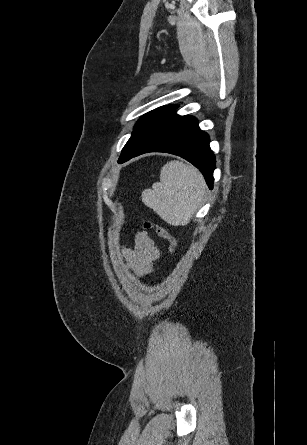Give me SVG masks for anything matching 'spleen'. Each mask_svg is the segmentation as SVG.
<instances>
[{"label": "spleen", "instance_id": "3e777b00", "mask_svg": "<svg viewBox=\"0 0 307 445\" xmlns=\"http://www.w3.org/2000/svg\"><path fill=\"white\" fill-rule=\"evenodd\" d=\"M206 184L195 166L170 160L162 166L160 182L143 190L142 202L153 208L168 225H188L203 202Z\"/></svg>", "mask_w": 307, "mask_h": 445}]
</instances>
